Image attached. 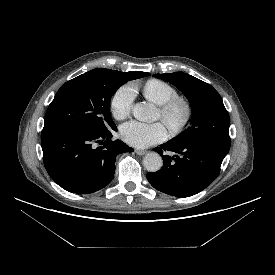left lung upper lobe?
<instances>
[{"mask_svg": "<svg viewBox=\"0 0 275 275\" xmlns=\"http://www.w3.org/2000/svg\"><path fill=\"white\" fill-rule=\"evenodd\" d=\"M153 76L175 85L188 98L192 107L190 126L171 142L230 149L229 114L221 96L210 84L183 72Z\"/></svg>", "mask_w": 275, "mask_h": 275, "instance_id": "obj_1", "label": "left lung upper lobe"}]
</instances>
